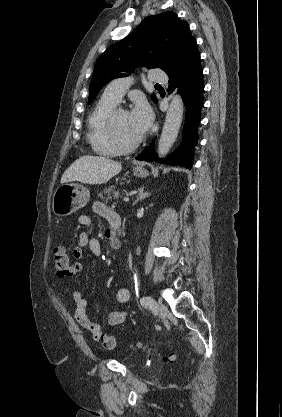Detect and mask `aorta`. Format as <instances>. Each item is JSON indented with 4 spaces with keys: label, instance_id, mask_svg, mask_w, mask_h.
<instances>
[{
    "label": "aorta",
    "instance_id": "1",
    "mask_svg": "<svg viewBox=\"0 0 282 417\" xmlns=\"http://www.w3.org/2000/svg\"><path fill=\"white\" fill-rule=\"evenodd\" d=\"M183 112V100L180 94H174L166 112L164 126L158 142L159 156L168 154L171 146H173L181 126Z\"/></svg>",
    "mask_w": 282,
    "mask_h": 417
}]
</instances>
